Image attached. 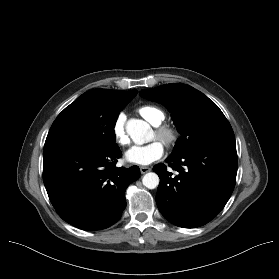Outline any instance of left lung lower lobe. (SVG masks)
Masks as SVG:
<instances>
[{
    "instance_id": "obj_1",
    "label": "left lung lower lobe",
    "mask_w": 279,
    "mask_h": 279,
    "mask_svg": "<svg viewBox=\"0 0 279 279\" xmlns=\"http://www.w3.org/2000/svg\"><path fill=\"white\" fill-rule=\"evenodd\" d=\"M153 170L160 178L156 203L172 224L195 228L211 221L225 206L236 182L235 143L200 146L180 155H170Z\"/></svg>"
}]
</instances>
